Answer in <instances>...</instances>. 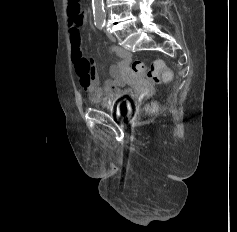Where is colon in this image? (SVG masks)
I'll return each instance as SVG.
<instances>
[{
	"label": "colon",
	"instance_id": "5ec220e1",
	"mask_svg": "<svg viewBox=\"0 0 237 232\" xmlns=\"http://www.w3.org/2000/svg\"><path fill=\"white\" fill-rule=\"evenodd\" d=\"M68 12L70 17H81L83 15V9L80 0H69ZM131 67L136 74L155 83L168 81L171 78L170 71L161 60L154 61L150 67L145 66L139 60H135L132 62Z\"/></svg>",
	"mask_w": 237,
	"mask_h": 232
}]
</instances>
